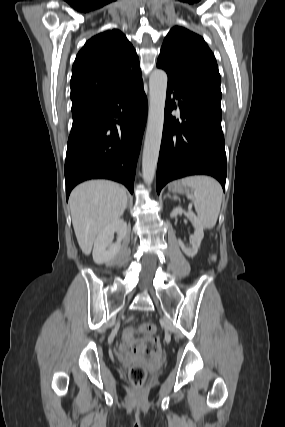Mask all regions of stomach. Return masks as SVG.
<instances>
[{
	"label": "stomach",
	"instance_id": "stomach-1",
	"mask_svg": "<svg viewBox=\"0 0 285 427\" xmlns=\"http://www.w3.org/2000/svg\"><path fill=\"white\" fill-rule=\"evenodd\" d=\"M169 191L172 192L173 194H183V193H187L189 191L188 187L183 186L182 183L180 181H176V182H172L169 185Z\"/></svg>",
	"mask_w": 285,
	"mask_h": 427
}]
</instances>
